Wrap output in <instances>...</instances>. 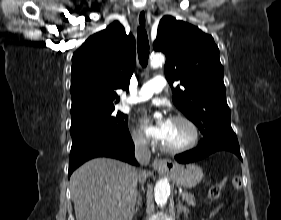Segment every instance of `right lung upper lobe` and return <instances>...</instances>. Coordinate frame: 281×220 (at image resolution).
Returning a JSON list of instances; mask_svg holds the SVG:
<instances>
[{
    "label": "right lung upper lobe",
    "mask_w": 281,
    "mask_h": 220,
    "mask_svg": "<svg viewBox=\"0 0 281 220\" xmlns=\"http://www.w3.org/2000/svg\"><path fill=\"white\" fill-rule=\"evenodd\" d=\"M135 39L115 21L90 36L72 57L71 117L114 109L117 89H129Z\"/></svg>",
    "instance_id": "1"
}]
</instances>
